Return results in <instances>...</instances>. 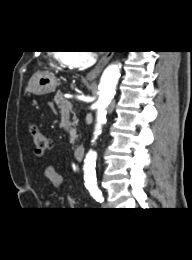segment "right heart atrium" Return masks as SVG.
I'll return each mask as SVG.
<instances>
[{"label":"right heart atrium","mask_w":192,"mask_h":260,"mask_svg":"<svg viewBox=\"0 0 192 260\" xmlns=\"http://www.w3.org/2000/svg\"><path fill=\"white\" fill-rule=\"evenodd\" d=\"M91 54L87 51H71L66 55V62L74 68H81L89 64Z\"/></svg>","instance_id":"right-heart-atrium-1"}]
</instances>
